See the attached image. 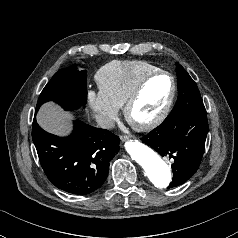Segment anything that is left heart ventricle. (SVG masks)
I'll return each instance as SVG.
<instances>
[{"mask_svg":"<svg viewBox=\"0 0 238 238\" xmlns=\"http://www.w3.org/2000/svg\"><path fill=\"white\" fill-rule=\"evenodd\" d=\"M170 90L171 84L166 76H158L150 80L132 108V120L137 123H145L153 119L165 105Z\"/></svg>","mask_w":238,"mask_h":238,"instance_id":"left-heart-ventricle-1","label":"left heart ventricle"}]
</instances>
